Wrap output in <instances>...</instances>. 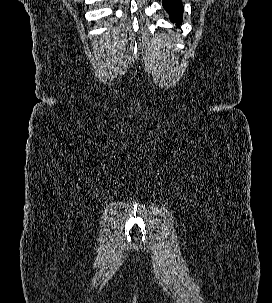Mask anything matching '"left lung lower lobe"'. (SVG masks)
Segmentation results:
<instances>
[{
    "label": "left lung lower lobe",
    "mask_w": 272,
    "mask_h": 303,
    "mask_svg": "<svg viewBox=\"0 0 272 303\" xmlns=\"http://www.w3.org/2000/svg\"><path fill=\"white\" fill-rule=\"evenodd\" d=\"M162 5L169 13L170 20L179 25L182 22L183 5L181 0H163Z\"/></svg>",
    "instance_id": "obj_1"
}]
</instances>
